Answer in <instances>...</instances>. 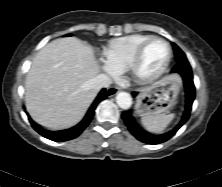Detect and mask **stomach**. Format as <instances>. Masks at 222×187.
I'll list each match as a JSON object with an SVG mask.
<instances>
[{
	"label": "stomach",
	"instance_id": "1",
	"mask_svg": "<svg viewBox=\"0 0 222 187\" xmlns=\"http://www.w3.org/2000/svg\"><path fill=\"white\" fill-rule=\"evenodd\" d=\"M180 87V80L171 76L145 88L137 97L136 113L139 116L168 113L175 103Z\"/></svg>",
	"mask_w": 222,
	"mask_h": 187
}]
</instances>
